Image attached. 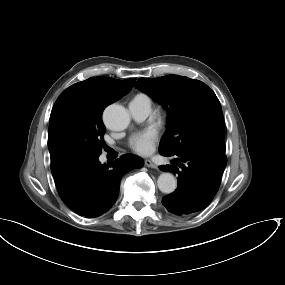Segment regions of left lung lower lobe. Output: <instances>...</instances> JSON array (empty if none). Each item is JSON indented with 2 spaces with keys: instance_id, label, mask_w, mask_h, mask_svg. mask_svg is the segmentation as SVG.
I'll list each match as a JSON object with an SVG mask.
<instances>
[{
  "instance_id": "left-lung-lower-lobe-1",
  "label": "left lung lower lobe",
  "mask_w": 285,
  "mask_h": 285,
  "mask_svg": "<svg viewBox=\"0 0 285 285\" xmlns=\"http://www.w3.org/2000/svg\"><path fill=\"white\" fill-rule=\"evenodd\" d=\"M175 157L172 166H159L162 171L178 174L177 189L163 197L162 203L175 215L194 214L206 208L216 195L227 159L224 154L209 150L190 151Z\"/></svg>"
}]
</instances>
